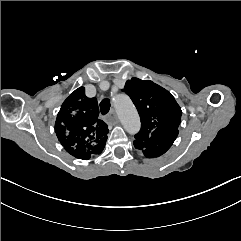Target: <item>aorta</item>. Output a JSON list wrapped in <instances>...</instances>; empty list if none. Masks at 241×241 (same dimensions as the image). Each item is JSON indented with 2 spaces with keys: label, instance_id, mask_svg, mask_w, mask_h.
I'll return each instance as SVG.
<instances>
[{
  "label": "aorta",
  "instance_id": "1",
  "mask_svg": "<svg viewBox=\"0 0 241 241\" xmlns=\"http://www.w3.org/2000/svg\"><path fill=\"white\" fill-rule=\"evenodd\" d=\"M114 106L124 129L135 134L140 129L139 115L128 96L120 95L114 99Z\"/></svg>",
  "mask_w": 241,
  "mask_h": 241
}]
</instances>
